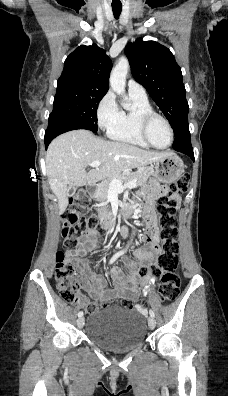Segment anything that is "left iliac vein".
Returning <instances> with one entry per match:
<instances>
[{
    "instance_id": "left-iliac-vein-1",
    "label": "left iliac vein",
    "mask_w": 228,
    "mask_h": 396,
    "mask_svg": "<svg viewBox=\"0 0 228 396\" xmlns=\"http://www.w3.org/2000/svg\"><path fill=\"white\" fill-rule=\"evenodd\" d=\"M148 325H149V328L150 329H154L155 328V326H156V320H155V318L154 317H149L148 318Z\"/></svg>"
}]
</instances>
